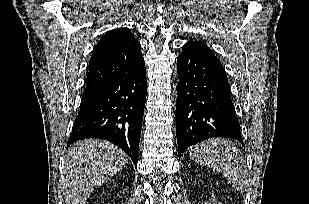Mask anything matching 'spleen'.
Listing matches in <instances>:
<instances>
[{
  "instance_id": "1",
  "label": "spleen",
  "mask_w": 309,
  "mask_h": 204,
  "mask_svg": "<svg viewBox=\"0 0 309 204\" xmlns=\"http://www.w3.org/2000/svg\"><path fill=\"white\" fill-rule=\"evenodd\" d=\"M189 155L197 164L221 172L235 190L244 191L248 185L247 166L241 151L231 141L210 139L192 147Z\"/></svg>"
}]
</instances>
